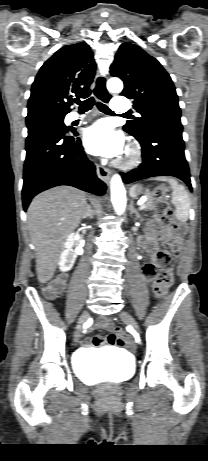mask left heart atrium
<instances>
[{"label":"left heart atrium","mask_w":208,"mask_h":461,"mask_svg":"<svg viewBox=\"0 0 208 461\" xmlns=\"http://www.w3.org/2000/svg\"><path fill=\"white\" fill-rule=\"evenodd\" d=\"M84 145L91 154L114 157L123 153L124 138L109 122L99 121L85 131Z\"/></svg>","instance_id":"obj_1"}]
</instances>
